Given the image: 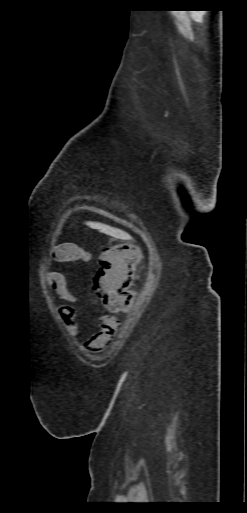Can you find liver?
Instances as JSON below:
<instances>
[{
    "label": "liver",
    "mask_w": 247,
    "mask_h": 513,
    "mask_svg": "<svg viewBox=\"0 0 247 513\" xmlns=\"http://www.w3.org/2000/svg\"><path fill=\"white\" fill-rule=\"evenodd\" d=\"M86 225L92 229H96L101 233L113 236L115 238L128 239L130 237L129 234H127L126 232L103 223L87 221Z\"/></svg>",
    "instance_id": "obj_1"
}]
</instances>
